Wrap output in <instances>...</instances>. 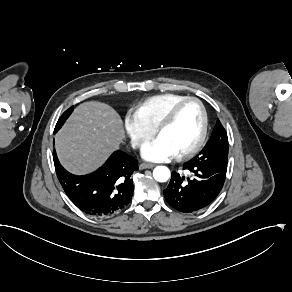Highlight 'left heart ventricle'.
I'll use <instances>...</instances> for the list:
<instances>
[{"instance_id": "1", "label": "left heart ventricle", "mask_w": 292, "mask_h": 292, "mask_svg": "<svg viewBox=\"0 0 292 292\" xmlns=\"http://www.w3.org/2000/svg\"><path fill=\"white\" fill-rule=\"evenodd\" d=\"M201 124V113L195 102L183 104L174 119L160 132L179 152L187 149L196 141Z\"/></svg>"}]
</instances>
